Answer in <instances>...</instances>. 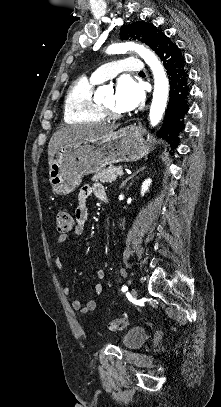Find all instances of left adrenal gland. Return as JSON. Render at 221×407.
I'll return each instance as SVG.
<instances>
[{
    "instance_id": "obj_1",
    "label": "left adrenal gland",
    "mask_w": 221,
    "mask_h": 407,
    "mask_svg": "<svg viewBox=\"0 0 221 407\" xmlns=\"http://www.w3.org/2000/svg\"><path fill=\"white\" fill-rule=\"evenodd\" d=\"M144 169H146L145 166L142 167V168H140L139 170H137L134 174H132L131 176H129L127 179H125V180L121 183L120 188H124L129 180H131L132 178H134V176H136L139 172L143 171Z\"/></svg>"
}]
</instances>
